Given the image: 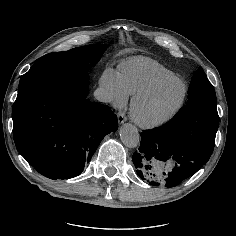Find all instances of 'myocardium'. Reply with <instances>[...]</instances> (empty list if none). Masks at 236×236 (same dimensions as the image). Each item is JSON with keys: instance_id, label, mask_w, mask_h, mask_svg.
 I'll return each instance as SVG.
<instances>
[{"instance_id": "f54148a6", "label": "myocardium", "mask_w": 236, "mask_h": 236, "mask_svg": "<svg viewBox=\"0 0 236 236\" xmlns=\"http://www.w3.org/2000/svg\"><path fill=\"white\" fill-rule=\"evenodd\" d=\"M171 82H180L183 85V92L177 104L168 113L160 118L147 120L141 117L138 113V104L140 103V101L151 94L153 91H155L157 88ZM187 93L188 86L186 82L179 77L174 76L155 80L133 95L129 107L130 118L140 128L155 129L161 127L172 120L180 112L186 101Z\"/></svg>"}]
</instances>
